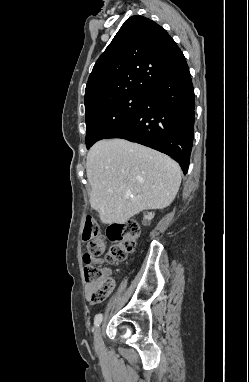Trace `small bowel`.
I'll use <instances>...</instances> for the list:
<instances>
[{
	"mask_svg": "<svg viewBox=\"0 0 249 382\" xmlns=\"http://www.w3.org/2000/svg\"><path fill=\"white\" fill-rule=\"evenodd\" d=\"M104 273L106 274V275H109L110 274V270L109 269H107V268H105L104 269ZM87 293H88V299H89V294H90V288L88 287V289H87ZM90 301V300H89ZM92 304H95V303H97V302H92V301H90Z\"/></svg>",
	"mask_w": 249,
	"mask_h": 382,
	"instance_id": "obj_1",
	"label": "small bowel"
}]
</instances>
